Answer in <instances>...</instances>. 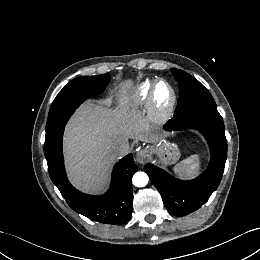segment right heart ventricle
Segmentation results:
<instances>
[{"instance_id":"obj_1","label":"right heart ventricle","mask_w":260,"mask_h":260,"mask_svg":"<svg viewBox=\"0 0 260 260\" xmlns=\"http://www.w3.org/2000/svg\"><path fill=\"white\" fill-rule=\"evenodd\" d=\"M153 83L154 80L146 79L132 90L124 92L120 98L122 107L130 111L140 110L148 100Z\"/></svg>"}]
</instances>
